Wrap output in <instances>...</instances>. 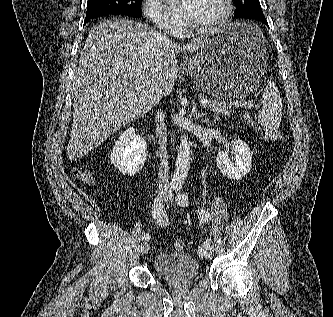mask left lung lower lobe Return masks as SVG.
Listing matches in <instances>:
<instances>
[{"instance_id": "1", "label": "left lung lower lobe", "mask_w": 333, "mask_h": 317, "mask_svg": "<svg viewBox=\"0 0 333 317\" xmlns=\"http://www.w3.org/2000/svg\"><path fill=\"white\" fill-rule=\"evenodd\" d=\"M234 18H236V19H255V20H259V21L265 23L268 26L267 20H266L265 16L263 15V12H251V13L239 15L237 17L234 16Z\"/></svg>"}]
</instances>
